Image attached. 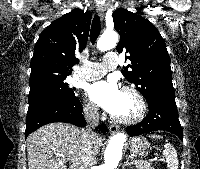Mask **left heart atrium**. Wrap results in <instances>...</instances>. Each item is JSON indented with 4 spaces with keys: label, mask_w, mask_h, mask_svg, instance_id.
Returning <instances> with one entry per match:
<instances>
[{
    "label": "left heart atrium",
    "mask_w": 200,
    "mask_h": 169,
    "mask_svg": "<svg viewBox=\"0 0 200 169\" xmlns=\"http://www.w3.org/2000/svg\"><path fill=\"white\" fill-rule=\"evenodd\" d=\"M122 91L114 80H101L91 84L87 89L89 98L102 109L114 115Z\"/></svg>",
    "instance_id": "obj_1"
}]
</instances>
